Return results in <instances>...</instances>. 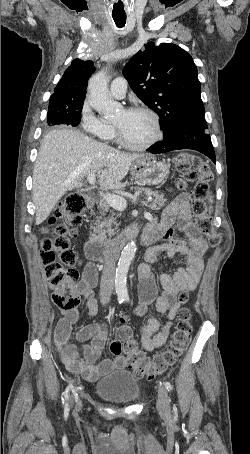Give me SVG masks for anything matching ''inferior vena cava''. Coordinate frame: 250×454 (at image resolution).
<instances>
[{"label":"inferior vena cava","instance_id":"obj_1","mask_svg":"<svg viewBox=\"0 0 250 454\" xmlns=\"http://www.w3.org/2000/svg\"><path fill=\"white\" fill-rule=\"evenodd\" d=\"M118 254L117 249H112L104 264V269L101 276L100 283V301L102 304H106L110 301L115 280V263Z\"/></svg>","mask_w":250,"mask_h":454}]
</instances>
